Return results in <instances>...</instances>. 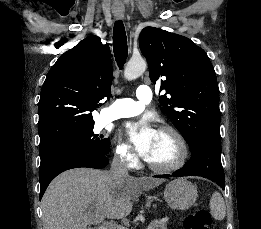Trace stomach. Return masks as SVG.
Returning <instances> with one entry per match:
<instances>
[{"mask_svg":"<svg viewBox=\"0 0 261 229\" xmlns=\"http://www.w3.org/2000/svg\"><path fill=\"white\" fill-rule=\"evenodd\" d=\"M165 201L171 209L177 211H186L194 205L198 191L195 185H192L187 179H175L168 183L164 189Z\"/></svg>","mask_w":261,"mask_h":229,"instance_id":"obj_1","label":"stomach"}]
</instances>
